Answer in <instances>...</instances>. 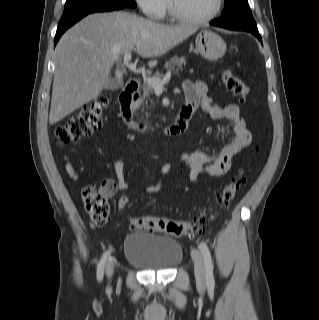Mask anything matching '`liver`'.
Returning a JSON list of instances; mask_svg holds the SVG:
<instances>
[{
    "mask_svg": "<svg viewBox=\"0 0 319 320\" xmlns=\"http://www.w3.org/2000/svg\"><path fill=\"white\" fill-rule=\"evenodd\" d=\"M196 30L122 11L88 15L64 33L56 46L49 123L53 125L97 99L114 62L125 53L136 50L144 58L159 57Z\"/></svg>",
    "mask_w": 319,
    "mask_h": 320,
    "instance_id": "obj_1",
    "label": "liver"
}]
</instances>
